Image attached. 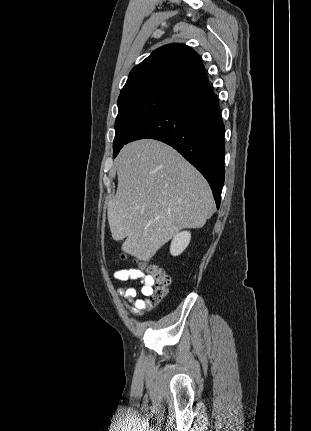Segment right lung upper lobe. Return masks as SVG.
<instances>
[{"mask_svg": "<svg viewBox=\"0 0 311 431\" xmlns=\"http://www.w3.org/2000/svg\"><path fill=\"white\" fill-rule=\"evenodd\" d=\"M209 85L199 55L184 44H168L156 49L135 66L121 94L155 88L182 96Z\"/></svg>", "mask_w": 311, "mask_h": 431, "instance_id": "obj_1", "label": "right lung upper lobe"}]
</instances>
